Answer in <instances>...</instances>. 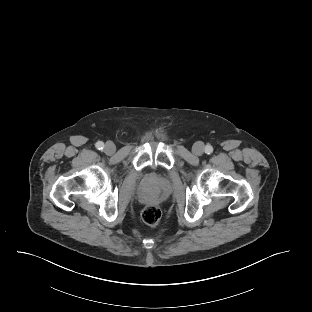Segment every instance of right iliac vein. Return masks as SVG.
<instances>
[{
  "label": "right iliac vein",
  "instance_id": "obj_1",
  "mask_svg": "<svg viewBox=\"0 0 312 312\" xmlns=\"http://www.w3.org/2000/svg\"><path fill=\"white\" fill-rule=\"evenodd\" d=\"M115 150H116L115 145L112 142H107L104 146V152L106 154H109V155L113 154Z\"/></svg>",
  "mask_w": 312,
  "mask_h": 312
}]
</instances>
